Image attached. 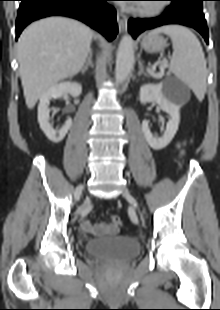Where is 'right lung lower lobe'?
Segmentation results:
<instances>
[{
	"label": "right lung lower lobe",
	"mask_w": 220,
	"mask_h": 310,
	"mask_svg": "<svg viewBox=\"0 0 220 310\" xmlns=\"http://www.w3.org/2000/svg\"><path fill=\"white\" fill-rule=\"evenodd\" d=\"M16 20V40L32 21L52 15L78 19L113 40L118 31L116 11L109 0H20Z\"/></svg>",
	"instance_id": "1"
}]
</instances>
